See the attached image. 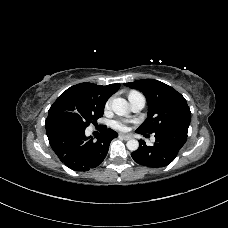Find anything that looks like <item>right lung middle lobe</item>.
<instances>
[{
  "label": "right lung middle lobe",
  "instance_id": "right-lung-middle-lobe-1",
  "mask_svg": "<svg viewBox=\"0 0 228 228\" xmlns=\"http://www.w3.org/2000/svg\"><path fill=\"white\" fill-rule=\"evenodd\" d=\"M105 103L69 88L50 107L45 124L62 122L85 129L103 115Z\"/></svg>",
  "mask_w": 228,
  "mask_h": 228
}]
</instances>
